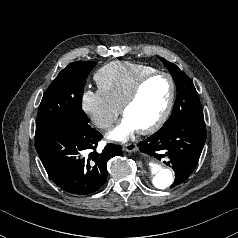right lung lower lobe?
<instances>
[{
  "label": "right lung lower lobe",
  "instance_id": "right-lung-lower-lobe-1",
  "mask_svg": "<svg viewBox=\"0 0 238 238\" xmlns=\"http://www.w3.org/2000/svg\"><path fill=\"white\" fill-rule=\"evenodd\" d=\"M101 138L88 123L59 124L36 133L35 147L55 184L68 193L88 195L106 182L107 161L123 154L115 144L96 152Z\"/></svg>",
  "mask_w": 238,
  "mask_h": 238
}]
</instances>
